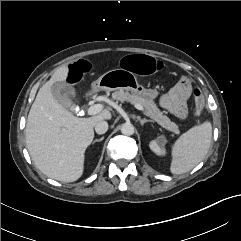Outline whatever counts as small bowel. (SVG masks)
<instances>
[{
  "label": "small bowel",
  "mask_w": 241,
  "mask_h": 241,
  "mask_svg": "<svg viewBox=\"0 0 241 241\" xmlns=\"http://www.w3.org/2000/svg\"><path fill=\"white\" fill-rule=\"evenodd\" d=\"M194 93L190 79L182 76L175 87L160 97V105L178 119L188 115L187 101Z\"/></svg>",
  "instance_id": "small-bowel-1"
}]
</instances>
